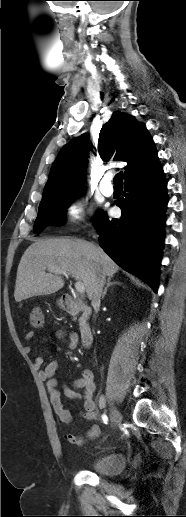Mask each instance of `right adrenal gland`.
<instances>
[{"mask_svg":"<svg viewBox=\"0 0 186 517\" xmlns=\"http://www.w3.org/2000/svg\"><path fill=\"white\" fill-rule=\"evenodd\" d=\"M122 283L121 282H118V281H115V282H111V277H109L107 279V284H106V287L104 288L103 292H102V299H104L106 293H107V289L110 287V286H113V285H121Z\"/></svg>","mask_w":186,"mask_h":517,"instance_id":"2a0ac1e0","label":"right adrenal gland"}]
</instances>
